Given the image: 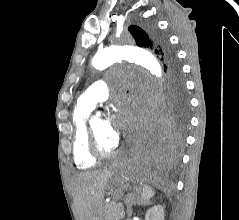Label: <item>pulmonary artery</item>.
Returning a JSON list of instances; mask_svg holds the SVG:
<instances>
[{"label": "pulmonary artery", "mask_w": 239, "mask_h": 220, "mask_svg": "<svg viewBox=\"0 0 239 220\" xmlns=\"http://www.w3.org/2000/svg\"><path fill=\"white\" fill-rule=\"evenodd\" d=\"M109 97V87L105 80H98L91 84L79 97L78 102L84 106L94 108L97 103L104 102Z\"/></svg>", "instance_id": "e3ab8cb5"}]
</instances>
